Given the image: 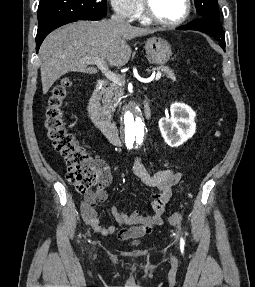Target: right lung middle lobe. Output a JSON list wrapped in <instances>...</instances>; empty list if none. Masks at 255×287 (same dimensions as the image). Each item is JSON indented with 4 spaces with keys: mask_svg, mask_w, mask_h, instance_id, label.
<instances>
[{
    "mask_svg": "<svg viewBox=\"0 0 255 287\" xmlns=\"http://www.w3.org/2000/svg\"><path fill=\"white\" fill-rule=\"evenodd\" d=\"M106 0H40L39 26L63 19L100 20L106 16Z\"/></svg>",
    "mask_w": 255,
    "mask_h": 287,
    "instance_id": "dd1d6c3e",
    "label": "right lung middle lobe"
}]
</instances>
